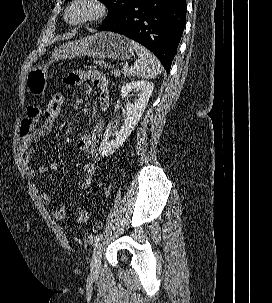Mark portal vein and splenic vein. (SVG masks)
<instances>
[{
    "mask_svg": "<svg viewBox=\"0 0 272 303\" xmlns=\"http://www.w3.org/2000/svg\"><path fill=\"white\" fill-rule=\"evenodd\" d=\"M124 69H130V70H132V67L129 68V65H128V64H125V65H124Z\"/></svg>",
    "mask_w": 272,
    "mask_h": 303,
    "instance_id": "18ae733b",
    "label": "portal vein and splenic vein"
}]
</instances>
